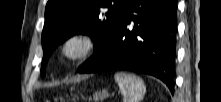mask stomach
Returning <instances> with one entry per match:
<instances>
[{"mask_svg": "<svg viewBox=\"0 0 221 102\" xmlns=\"http://www.w3.org/2000/svg\"><path fill=\"white\" fill-rule=\"evenodd\" d=\"M108 97V91L103 89L101 92H95L93 95V99L95 102H98L99 100H104Z\"/></svg>", "mask_w": 221, "mask_h": 102, "instance_id": "1", "label": "stomach"}]
</instances>
